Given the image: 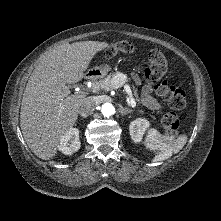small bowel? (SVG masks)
Returning a JSON list of instances; mask_svg holds the SVG:
<instances>
[{"label":"small bowel","instance_id":"1","mask_svg":"<svg viewBox=\"0 0 221 221\" xmlns=\"http://www.w3.org/2000/svg\"><path fill=\"white\" fill-rule=\"evenodd\" d=\"M133 77L137 83L140 82V79L136 74H134ZM150 92H151L150 87L148 86L143 87L142 102L144 103V105H146L148 108L153 109V110L162 109L161 104L150 95Z\"/></svg>","mask_w":221,"mask_h":221}]
</instances>
